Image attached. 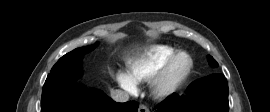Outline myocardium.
<instances>
[{"label":"myocardium","instance_id":"f54148a6","mask_svg":"<svg viewBox=\"0 0 270 112\" xmlns=\"http://www.w3.org/2000/svg\"><path fill=\"white\" fill-rule=\"evenodd\" d=\"M182 54L188 57V67L177 79L172 82H168L169 69L173 61ZM194 66V59L188 51L175 50L165 59L158 71L150 79L149 88L152 97L156 100H165L174 96L186 84L194 70Z\"/></svg>","mask_w":270,"mask_h":112}]
</instances>
